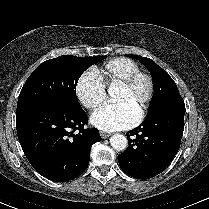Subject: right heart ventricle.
Masks as SVG:
<instances>
[{
    "label": "right heart ventricle",
    "instance_id": "1",
    "mask_svg": "<svg viewBox=\"0 0 209 209\" xmlns=\"http://www.w3.org/2000/svg\"><path fill=\"white\" fill-rule=\"evenodd\" d=\"M138 69L139 66L134 60L118 57L105 62L96 69V73L105 87H115Z\"/></svg>",
    "mask_w": 209,
    "mask_h": 209
}]
</instances>
